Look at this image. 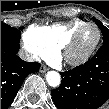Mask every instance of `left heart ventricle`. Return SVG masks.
<instances>
[{
	"label": "left heart ventricle",
	"mask_w": 109,
	"mask_h": 109,
	"mask_svg": "<svg viewBox=\"0 0 109 109\" xmlns=\"http://www.w3.org/2000/svg\"><path fill=\"white\" fill-rule=\"evenodd\" d=\"M97 38V31L94 27L86 28L80 35L78 42L72 48L70 54L72 57H79L86 53Z\"/></svg>",
	"instance_id": "b2bd125f"
}]
</instances>
